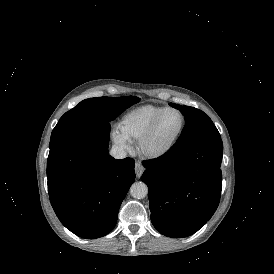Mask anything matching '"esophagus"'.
Returning a JSON list of instances; mask_svg holds the SVG:
<instances>
[{"label":"esophagus","instance_id":"obj_1","mask_svg":"<svg viewBox=\"0 0 274 274\" xmlns=\"http://www.w3.org/2000/svg\"><path fill=\"white\" fill-rule=\"evenodd\" d=\"M144 170H145V168L140 163L135 164V173L138 178L142 175Z\"/></svg>","mask_w":274,"mask_h":274}]
</instances>
